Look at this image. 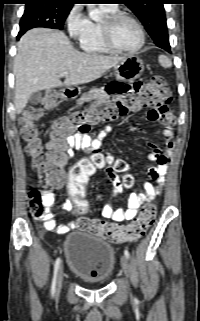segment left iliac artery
<instances>
[{
	"instance_id": "44dca946",
	"label": "left iliac artery",
	"mask_w": 200,
	"mask_h": 321,
	"mask_svg": "<svg viewBox=\"0 0 200 321\" xmlns=\"http://www.w3.org/2000/svg\"><path fill=\"white\" fill-rule=\"evenodd\" d=\"M124 254H125V256H126L127 258H130V253H129L128 250H125V251H124Z\"/></svg>"
}]
</instances>
